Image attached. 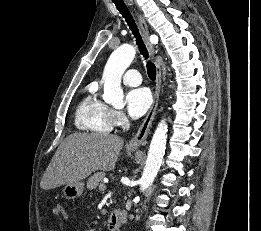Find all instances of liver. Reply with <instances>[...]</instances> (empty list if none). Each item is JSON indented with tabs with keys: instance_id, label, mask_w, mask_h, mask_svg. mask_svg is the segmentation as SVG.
<instances>
[{
	"instance_id": "liver-1",
	"label": "liver",
	"mask_w": 261,
	"mask_h": 231,
	"mask_svg": "<svg viewBox=\"0 0 261 231\" xmlns=\"http://www.w3.org/2000/svg\"><path fill=\"white\" fill-rule=\"evenodd\" d=\"M124 140L108 133H74L58 147L48 165L40 186L54 189L77 183L96 170H113Z\"/></svg>"
}]
</instances>
